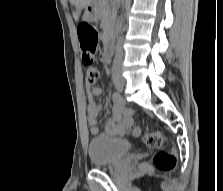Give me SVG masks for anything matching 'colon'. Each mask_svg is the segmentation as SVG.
<instances>
[{"instance_id": "5ec220e1", "label": "colon", "mask_w": 223, "mask_h": 191, "mask_svg": "<svg viewBox=\"0 0 223 191\" xmlns=\"http://www.w3.org/2000/svg\"><path fill=\"white\" fill-rule=\"evenodd\" d=\"M81 49L83 51V63L87 67L86 79L88 83H95L98 79V71L92 68L98 45V32L91 25H85L80 32ZM132 134L141 138L149 148L159 149L153 156V165L162 172H170L175 168L176 158L173 152L160 149L162 136L159 132H149L139 126L135 127Z\"/></svg>"}]
</instances>
